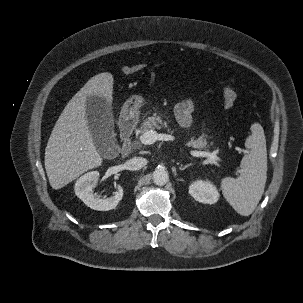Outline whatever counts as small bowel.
<instances>
[{
    "label": "small bowel",
    "instance_id": "c3829d8e",
    "mask_svg": "<svg viewBox=\"0 0 303 303\" xmlns=\"http://www.w3.org/2000/svg\"><path fill=\"white\" fill-rule=\"evenodd\" d=\"M194 104L191 100L179 103L175 108V116L179 124L184 128H189L192 124V113Z\"/></svg>",
    "mask_w": 303,
    "mask_h": 303
}]
</instances>
